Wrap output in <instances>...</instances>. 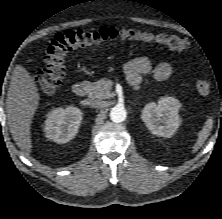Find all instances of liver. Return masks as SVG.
<instances>
[{"label": "liver", "mask_w": 222, "mask_h": 219, "mask_svg": "<svg viewBox=\"0 0 222 219\" xmlns=\"http://www.w3.org/2000/svg\"><path fill=\"white\" fill-rule=\"evenodd\" d=\"M39 99L34 79L22 65H17L7 94L6 112L13 140L25 156H29L32 150L30 129Z\"/></svg>", "instance_id": "6515ba94"}]
</instances>
